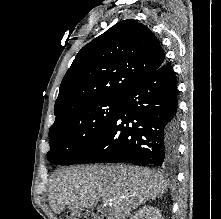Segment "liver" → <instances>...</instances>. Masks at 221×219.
I'll use <instances>...</instances> for the list:
<instances>
[{
    "instance_id": "1",
    "label": "liver",
    "mask_w": 221,
    "mask_h": 219,
    "mask_svg": "<svg viewBox=\"0 0 221 219\" xmlns=\"http://www.w3.org/2000/svg\"><path fill=\"white\" fill-rule=\"evenodd\" d=\"M167 189L164 178L149 169L128 165L77 166L57 170L49 200L60 213L65 207L93 208L103 201L108 219H126L141 204Z\"/></svg>"
}]
</instances>
